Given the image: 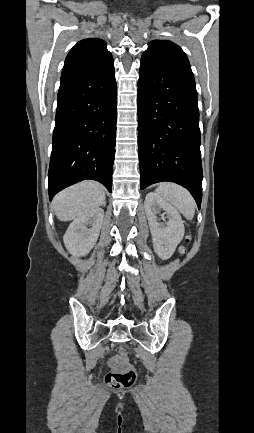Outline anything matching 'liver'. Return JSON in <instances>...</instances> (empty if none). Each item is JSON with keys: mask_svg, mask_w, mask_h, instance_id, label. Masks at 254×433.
<instances>
[{"mask_svg": "<svg viewBox=\"0 0 254 433\" xmlns=\"http://www.w3.org/2000/svg\"><path fill=\"white\" fill-rule=\"evenodd\" d=\"M104 204V187L95 181H83L58 193L53 209L59 220L70 221Z\"/></svg>", "mask_w": 254, "mask_h": 433, "instance_id": "6515ba94", "label": "liver"}]
</instances>
